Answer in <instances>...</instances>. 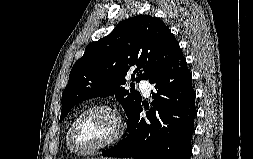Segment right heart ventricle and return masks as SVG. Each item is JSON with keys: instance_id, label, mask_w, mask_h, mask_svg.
Returning a JSON list of instances; mask_svg holds the SVG:
<instances>
[{"instance_id": "right-heart-ventricle-1", "label": "right heart ventricle", "mask_w": 253, "mask_h": 159, "mask_svg": "<svg viewBox=\"0 0 253 159\" xmlns=\"http://www.w3.org/2000/svg\"><path fill=\"white\" fill-rule=\"evenodd\" d=\"M68 139H69V128H68V130L66 132V145H67V147H69Z\"/></svg>"}]
</instances>
